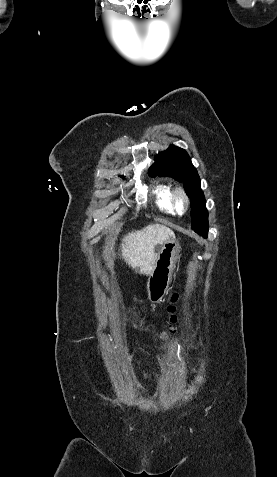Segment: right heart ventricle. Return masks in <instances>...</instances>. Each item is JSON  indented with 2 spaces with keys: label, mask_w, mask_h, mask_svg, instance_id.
Returning a JSON list of instances; mask_svg holds the SVG:
<instances>
[{
  "label": "right heart ventricle",
  "mask_w": 277,
  "mask_h": 477,
  "mask_svg": "<svg viewBox=\"0 0 277 477\" xmlns=\"http://www.w3.org/2000/svg\"><path fill=\"white\" fill-rule=\"evenodd\" d=\"M152 195L159 209L166 213H174L171 204V189L168 185L156 182L152 188Z\"/></svg>",
  "instance_id": "1"
}]
</instances>
